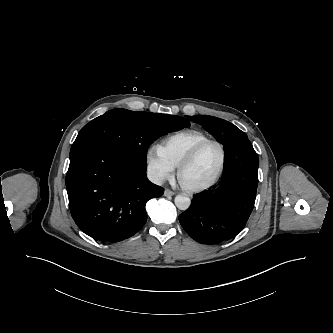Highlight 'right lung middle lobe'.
Wrapping results in <instances>:
<instances>
[{
	"label": "right lung middle lobe",
	"instance_id": "obj_1",
	"mask_svg": "<svg viewBox=\"0 0 333 333\" xmlns=\"http://www.w3.org/2000/svg\"><path fill=\"white\" fill-rule=\"evenodd\" d=\"M190 126L188 120L159 113L113 109L90 121L73 146L93 142L110 148L129 160L146 165L147 149L160 136Z\"/></svg>",
	"mask_w": 333,
	"mask_h": 333
}]
</instances>
